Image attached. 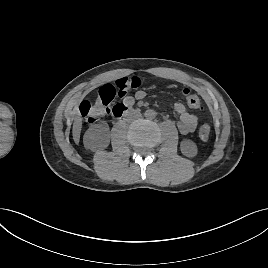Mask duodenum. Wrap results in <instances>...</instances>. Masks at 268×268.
Masks as SVG:
<instances>
[{"instance_id": "obj_1", "label": "duodenum", "mask_w": 268, "mask_h": 268, "mask_svg": "<svg viewBox=\"0 0 268 268\" xmlns=\"http://www.w3.org/2000/svg\"><path fill=\"white\" fill-rule=\"evenodd\" d=\"M131 111H132L131 107L124 104H119L112 108L111 115L115 118H120Z\"/></svg>"}]
</instances>
